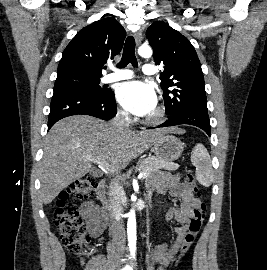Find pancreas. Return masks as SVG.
<instances>
[{
  "label": "pancreas",
  "mask_w": 267,
  "mask_h": 270,
  "mask_svg": "<svg viewBox=\"0 0 267 270\" xmlns=\"http://www.w3.org/2000/svg\"><path fill=\"white\" fill-rule=\"evenodd\" d=\"M178 168V165L170 162L159 159L155 156H149L143 159L138 166L140 172L146 173L147 176L151 175L154 172L159 171L160 169L174 171Z\"/></svg>",
  "instance_id": "pancreas-1"
}]
</instances>
